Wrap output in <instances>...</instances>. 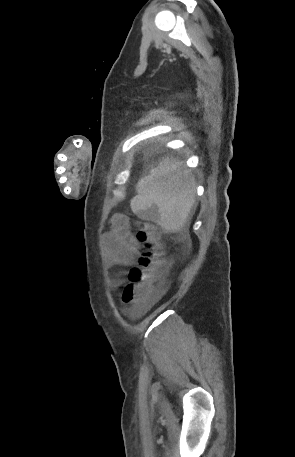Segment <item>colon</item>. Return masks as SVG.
Wrapping results in <instances>:
<instances>
[{"instance_id":"5ec220e1","label":"colon","mask_w":295,"mask_h":457,"mask_svg":"<svg viewBox=\"0 0 295 457\" xmlns=\"http://www.w3.org/2000/svg\"><path fill=\"white\" fill-rule=\"evenodd\" d=\"M136 237L144 246L138 265L128 271V283L122 293V301L129 312H140L149 299L154 283L164 269L162 243L158 229L148 221H139Z\"/></svg>"}]
</instances>
